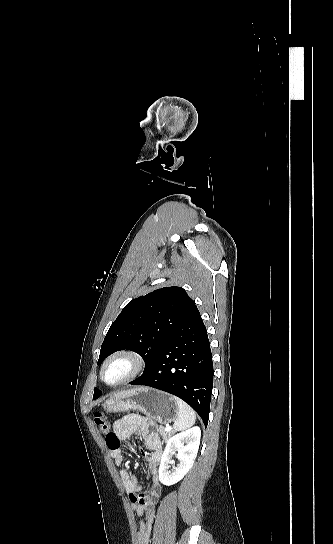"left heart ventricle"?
Here are the masks:
<instances>
[{
	"label": "left heart ventricle",
	"instance_id": "1",
	"mask_svg": "<svg viewBox=\"0 0 333 544\" xmlns=\"http://www.w3.org/2000/svg\"><path fill=\"white\" fill-rule=\"evenodd\" d=\"M130 370V363L127 360L119 359L110 363L105 369V380L114 383L121 380Z\"/></svg>",
	"mask_w": 333,
	"mask_h": 544
}]
</instances>
